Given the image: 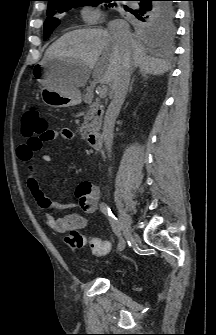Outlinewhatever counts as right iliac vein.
Masks as SVG:
<instances>
[{"label":"right iliac vein","instance_id":"1","mask_svg":"<svg viewBox=\"0 0 216 335\" xmlns=\"http://www.w3.org/2000/svg\"><path fill=\"white\" fill-rule=\"evenodd\" d=\"M118 214H119V220L120 224L122 227V233L124 236H128L131 234L132 229H131V220L125 209L122 207H119L118 209Z\"/></svg>","mask_w":216,"mask_h":335}]
</instances>
